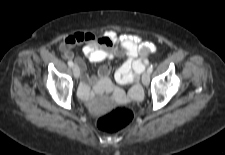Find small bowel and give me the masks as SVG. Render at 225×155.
I'll use <instances>...</instances> for the list:
<instances>
[{"label": "small bowel", "instance_id": "1", "mask_svg": "<svg viewBox=\"0 0 225 155\" xmlns=\"http://www.w3.org/2000/svg\"><path fill=\"white\" fill-rule=\"evenodd\" d=\"M83 45V53L90 62L98 63L114 57H125L123 64L115 72V80L120 85H131L128 92L113 85L109 75V66H103L94 77L83 74L79 89L80 97L85 101H92L96 96L110 93L108 102L128 103L142 98V91L138 84L140 74L148 64V56L156 50L153 43L144 41L140 36L118 34L113 30H106L100 36L90 32H76L60 44V50L65 58L75 60L84 71L85 63L81 58H74L72 49Z\"/></svg>", "mask_w": 225, "mask_h": 155}]
</instances>
